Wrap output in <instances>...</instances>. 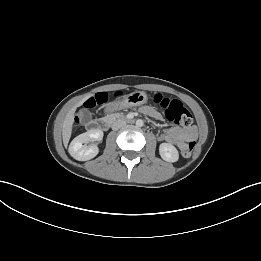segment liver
I'll return each mask as SVG.
<instances>
[{
    "instance_id": "6515ba94",
    "label": "liver",
    "mask_w": 261,
    "mask_h": 261,
    "mask_svg": "<svg viewBox=\"0 0 261 261\" xmlns=\"http://www.w3.org/2000/svg\"><path fill=\"white\" fill-rule=\"evenodd\" d=\"M85 100L86 98L82 99L75 106H73L64 119L63 126H62V138H63L64 146L68 145V142L71 137L75 111L77 107L81 106Z\"/></svg>"
}]
</instances>
